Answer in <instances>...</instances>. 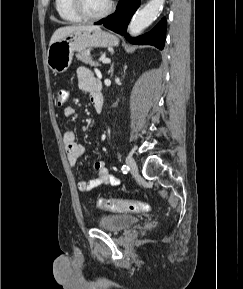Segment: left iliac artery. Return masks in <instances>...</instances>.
<instances>
[{
    "mask_svg": "<svg viewBox=\"0 0 243 289\" xmlns=\"http://www.w3.org/2000/svg\"><path fill=\"white\" fill-rule=\"evenodd\" d=\"M121 170H122L123 173H127L130 169H129L128 166L123 165L122 168H121Z\"/></svg>",
    "mask_w": 243,
    "mask_h": 289,
    "instance_id": "obj_1",
    "label": "left iliac artery"
}]
</instances>
